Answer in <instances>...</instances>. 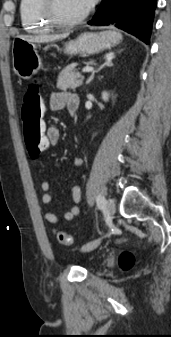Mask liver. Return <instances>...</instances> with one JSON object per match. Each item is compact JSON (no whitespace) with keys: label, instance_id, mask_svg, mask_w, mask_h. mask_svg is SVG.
Listing matches in <instances>:
<instances>
[{"label":"liver","instance_id":"liver-1","mask_svg":"<svg viewBox=\"0 0 171 337\" xmlns=\"http://www.w3.org/2000/svg\"><path fill=\"white\" fill-rule=\"evenodd\" d=\"M68 34L63 35H39V36H19L18 38L27 40L29 42H37V43H44V42H50L55 41L59 39H63L67 37Z\"/></svg>","mask_w":171,"mask_h":337}]
</instances>
